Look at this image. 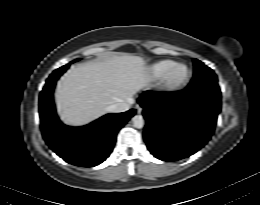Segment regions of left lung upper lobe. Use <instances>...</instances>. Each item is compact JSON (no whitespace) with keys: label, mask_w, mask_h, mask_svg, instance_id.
Here are the masks:
<instances>
[{"label":"left lung upper lobe","mask_w":260,"mask_h":205,"mask_svg":"<svg viewBox=\"0 0 260 205\" xmlns=\"http://www.w3.org/2000/svg\"><path fill=\"white\" fill-rule=\"evenodd\" d=\"M193 61L194 77L188 85V88L207 90L221 94L217 83V76L214 71L197 59H194Z\"/></svg>","instance_id":"obj_1"}]
</instances>
